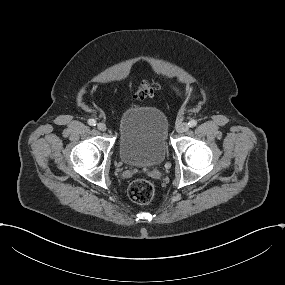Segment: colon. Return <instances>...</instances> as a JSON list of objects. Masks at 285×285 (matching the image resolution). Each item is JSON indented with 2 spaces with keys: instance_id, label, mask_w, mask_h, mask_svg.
Listing matches in <instances>:
<instances>
[{
  "instance_id": "5ec220e1",
  "label": "colon",
  "mask_w": 285,
  "mask_h": 285,
  "mask_svg": "<svg viewBox=\"0 0 285 285\" xmlns=\"http://www.w3.org/2000/svg\"><path fill=\"white\" fill-rule=\"evenodd\" d=\"M158 89L159 85L156 82L144 80L133 90V98L143 100L153 96ZM154 194V185L145 179L133 181L128 188L129 198L141 205L149 203L153 199Z\"/></svg>"
}]
</instances>
